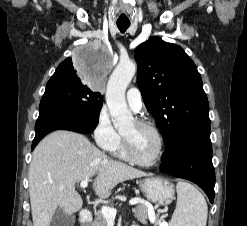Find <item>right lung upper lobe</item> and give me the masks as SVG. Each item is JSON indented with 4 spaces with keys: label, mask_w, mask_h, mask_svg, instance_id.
I'll return each mask as SVG.
<instances>
[{
    "label": "right lung upper lobe",
    "mask_w": 247,
    "mask_h": 226,
    "mask_svg": "<svg viewBox=\"0 0 247 226\" xmlns=\"http://www.w3.org/2000/svg\"><path fill=\"white\" fill-rule=\"evenodd\" d=\"M71 58H67L64 62H62L58 67H57V71L67 67V66H70L71 65Z\"/></svg>",
    "instance_id": "obj_1"
}]
</instances>
